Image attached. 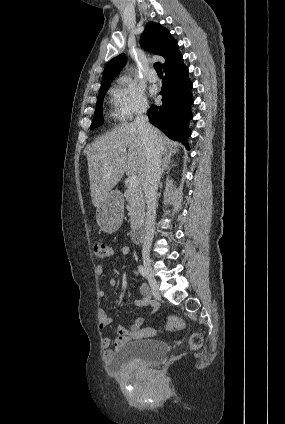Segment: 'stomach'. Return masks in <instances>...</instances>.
Wrapping results in <instances>:
<instances>
[{"mask_svg":"<svg viewBox=\"0 0 285 424\" xmlns=\"http://www.w3.org/2000/svg\"><path fill=\"white\" fill-rule=\"evenodd\" d=\"M123 213L124 203L122 198L116 193H110L98 205L96 220L103 231L114 232L121 224Z\"/></svg>","mask_w":285,"mask_h":424,"instance_id":"obj_1","label":"stomach"}]
</instances>
